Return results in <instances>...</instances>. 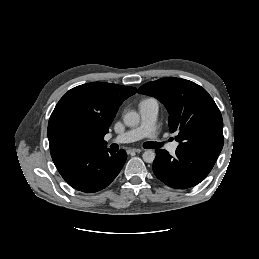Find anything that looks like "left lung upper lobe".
Wrapping results in <instances>:
<instances>
[{
  "label": "left lung upper lobe",
  "mask_w": 259,
  "mask_h": 259,
  "mask_svg": "<svg viewBox=\"0 0 259 259\" xmlns=\"http://www.w3.org/2000/svg\"><path fill=\"white\" fill-rule=\"evenodd\" d=\"M138 93L157 98L169 112L170 132H177L178 149L221 151L223 120L211 96L201 86L180 78H162L141 86Z\"/></svg>",
  "instance_id": "5c2ea615"
}]
</instances>
